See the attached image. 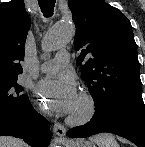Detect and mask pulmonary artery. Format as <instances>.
Masks as SVG:
<instances>
[{"instance_id":"e3ab8cb5","label":"pulmonary artery","mask_w":145,"mask_h":147,"mask_svg":"<svg viewBox=\"0 0 145 147\" xmlns=\"http://www.w3.org/2000/svg\"><path fill=\"white\" fill-rule=\"evenodd\" d=\"M70 60V54L66 51L60 52L56 55V57L52 60H48L40 64L39 68L42 72L45 73H55L61 67H65L68 65Z\"/></svg>"}]
</instances>
